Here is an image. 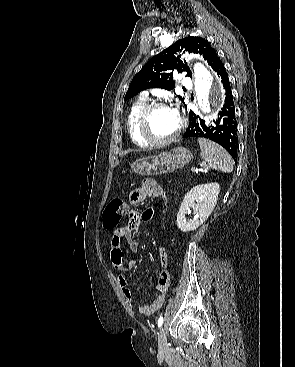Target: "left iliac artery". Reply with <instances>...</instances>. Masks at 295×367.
I'll return each instance as SVG.
<instances>
[{
  "label": "left iliac artery",
  "mask_w": 295,
  "mask_h": 367,
  "mask_svg": "<svg viewBox=\"0 0 295 367\" xmlns=\"http://www.w3.org/2000/svg\"><path fill=\"white\" fill-rule=\"evenodd\" d=\"M158 327L160 328L161 326H162V324H163V317L161 316V317H159V319H158Z\"/></svg>",
  "instance_id": "44dca946"
}]
</instances>
